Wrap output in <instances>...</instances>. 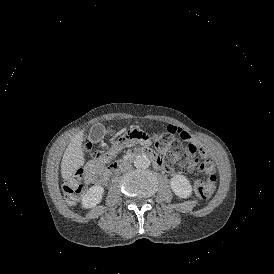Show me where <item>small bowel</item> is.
Segmentation results:
<instances>
[{"label":"small bowel","instance_id":"1","mask_svg":"<svg viewBox=\"0 0 274 274\" xmlns=\"http://www.w3.org/2000/svg\"><path fill=\"white\" fill-rule=\"evenodd\" d=\"M168 131L177 132V134L181 135L184 140L189 141L190 144H193L188 146V151L194 152L196 148V152L194 155H187L190 158V165L184 168L188 169V172L193 170L194 173H200L199 161L207 159V154L203 153V144L200 142V140L191 136L186 129L179 127L178 125H169ZM137 141L143 146H149L150 143L148 138L142 136L137 139ZM125 143L126 142L118 143L117 145L113 146L107 153L96 156L86 163L84 167V188H87L90 185H103L107 181L109 171L112 167V164H108L109 160L124 148ZM206 163L211 162H205L204 164ZM218 179L219 174L217 173V178L215 180H210V182L217 183Z\"/></svg>","mask_w":274,"mask_h":274}]
</instances>
